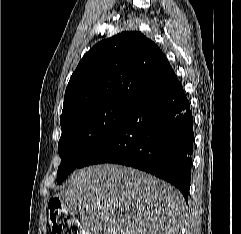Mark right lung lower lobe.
I'll return each mask as SVG.
<instances>
[{
	"label": "right lung lower lobe",
	"instance_id": "right-lung-lower-lobe-1",
	"mask_svg": "<svg viewBox=\"0 0 241 234\" xmlns=\"http://www.w3.org/2000/svg\"><path fill=\"white\" fill-rule=\"evenodd\" d=\"M193 117L174 71L133 103L121 122L80 163H116L151 173L177 187L188 201Z\"/></svg>",
	"mask_w": 241,
	"mask_h": 234
}]
</instances>
